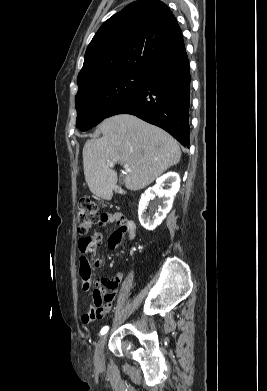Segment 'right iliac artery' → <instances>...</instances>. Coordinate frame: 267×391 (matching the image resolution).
<instances>
[{
	"instance_id": "obj_1",
	"label": "right iliac artery",
	"mask_w": 267,
	"mask_h": 391,
	"mask_svg": "<svg viewBox=\"0 0 267 391\" xmlns=\"http://www.w3.org/2000/svg\"><path fill=\"white\" fill-rule=\"evenodd\" d=\"M108 329H109L108 326L103 327L101 330V335L105 334L108 331Z\"/></svg>"
}]
</instances>
